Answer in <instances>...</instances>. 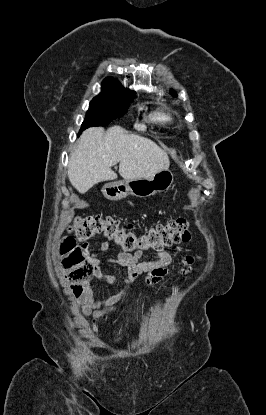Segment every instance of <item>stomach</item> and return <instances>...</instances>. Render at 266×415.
Returning <instances> with one entry per match:
<instances>
[{"mask_svg":"<svg viewBox=\"0 0 266 415\" xmlns=\"http://www.w3.org/2000/svg\"><path fill=\"white\" fill-rule=\"evenodd\" d=\"M174 182V174L170 169H164L151 178L124 179L119 182L107 183L102 188L104 197L118 201L133 195L147 198L159 192L168 190Z\"/></svg>","mask_w":266,"mask_h":415,"instance_id":"stomach-1","label":"stomach"}]
</instances>
